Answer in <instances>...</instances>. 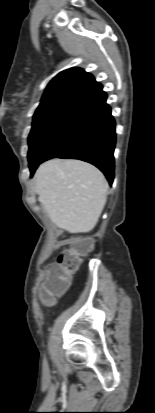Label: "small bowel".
Instances as JSON below:
<instances>
[{
    "instance_id": "small-bowel-1",
    "label": "small bowel",
    "mask_w": 155,
    "mask_h": 413,
    "mask_svg": "<svg viewBox=\"0 0 155 413\" xmlns=\"http://www.w3.org/2000/svg\"><path fill=\"white\" fill-rule=\"evenodd\" d=\"M41 292H42V293H45V290H44V289H42V290H41Z\"/></svg>"
}]
</instances>
